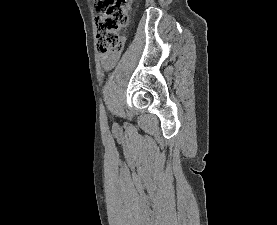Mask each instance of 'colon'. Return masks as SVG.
<instances>
[{
	"label": "colon",
	"mask_w": 277,
	"mask_h": 225,
	"mask_svg": "<svg viewBox=\"0 0 277 225\" xmlns=\"http://www.w3.org/2000/svg\"><path fill=\"white\" fill-rule=\"evenodd\" d=\"M133 0H94L99 13L96 25L97 49L103 55L118 53L123 46L120 32L129 24V11Z\"/></svg>",
	"instance_id": "5ec220e1"
}]
</instances>
